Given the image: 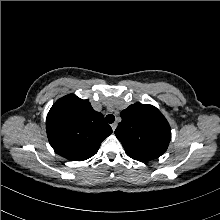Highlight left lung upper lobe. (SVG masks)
I'll return each instance as SVG.
<instances>
[{
  "label": "left lung upper lobe",
  "instance_id": "5c2ea615",
  "mask_svg": "<svg viewBox=\"0 0 220 220\" xmlns=\"http://www.w3.org/2000/svg\"><path fill=\"white\" fill-rule=\"evenodd\" d=\"M121 118L115 135L128 156L147 161L158 158L167 150L171 129L156 107L135 103L121 112Z\"/></svg>",
  "mask_w": 220,
  "mask_h": 220
}]
</instances>
